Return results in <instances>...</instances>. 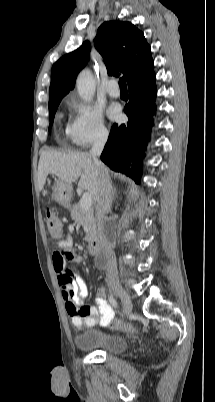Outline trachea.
Listing matches in <instances>:
<instances>
[{
    "label": "trachea",
    "instance_id": "obj_1",
    "mask_svg": "<svg viewBox=\"0 0 215 402\" xmlns=\"http://www.w3.org/2000/svg\"><path fill=\"white\" fill-rule=\"evenodd\" d=\"M119 86H120L121 89H127L126 78L125 77H121L119 79Z\"/></svg>",
    "mask_w": 215,
    "mask_h": 402
}]
</instances>
